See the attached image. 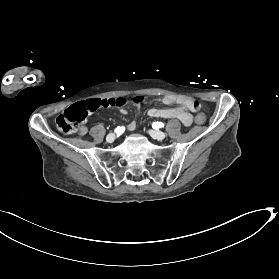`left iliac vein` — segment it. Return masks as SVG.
Segmentation results:
<instances>
[{
	"instance_id": "1",
	"label": "left iliac vein",
	"mask_w": 279,
	"mask_h": 279,
	"mask_svg": "<svg viewBox=\"0 0 279 279\" xmlns=\"http://www.w3.org/2000/svg\"><path fill=\"white\" fill-rule=\"evenodd\" d=\"M149 134L152 138L157 139V140H163L166 137V134L161 131L150 130Z\"/></svg>"
}]
</instances>
